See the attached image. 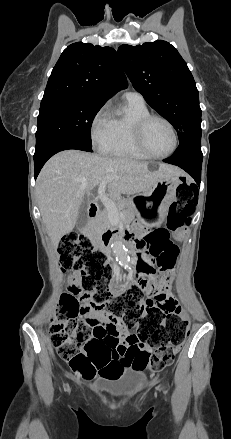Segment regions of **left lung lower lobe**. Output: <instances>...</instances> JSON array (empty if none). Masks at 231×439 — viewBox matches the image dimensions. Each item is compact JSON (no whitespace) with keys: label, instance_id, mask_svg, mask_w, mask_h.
Wrapping results in <instances>:
<instances>
[{"label":"left lung lower lobe","instance_id":"left-lung-lower-lobe-1","mask_svg":"<svg viewBox=\"0 0 231 439\" xmlns=\"http://www.w3.org/2000/svg\"><path fill=\"white\" fill-rule=\"evenodd\" d=\"M202 159L201 132H195L186 135L180 141L175 153L163 161L184 169L200 186Z\"/></svg>","mask_w":231,"mask_h":439}]
</instances>
